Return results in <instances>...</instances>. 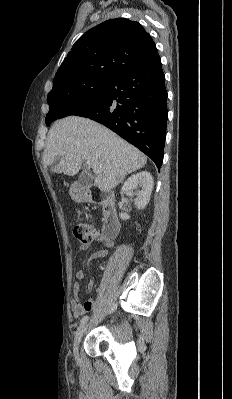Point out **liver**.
Returning <instances> with one entry per match:
<instances>
[{
    "label": "liver",
    "instance_id": "obj_1",
    "mask_svg": "<svg viewBox=\"0 0 232 399\" xmlns=\"http://www.w3.org/2000/svg\"><path fill=\"white\" fill-rule=\"evenodd\" d=\"M83 160H91L100 170L95 186L102 192H110L125 176L140 170L147 162L142 152L97 122L78 116L55 122L48 132L45 166L58 162L56 172L75 176Z\"/></svg>",
    "mask_w": 232,
    "mask_h": 399
}]
</instances>
